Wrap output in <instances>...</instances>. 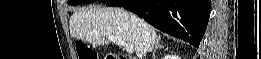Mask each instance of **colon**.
I'll return each mask as SVG.
<instances>
[{"instance_id": "5ec220e1", "label": "colon", "mask_w": 261, "mask_h": 59, "mask_svg": "<svg viewBox=\"0 0 261 59\" xmlns=\"http://www.w3.org/2000/svg\"><path fill=\"white\" fill-rule=\"evenodd\" d=\"M77 54L79 59H97V53L88 45L79 43L77 45Z\"/></svg>"}]
</instances>
